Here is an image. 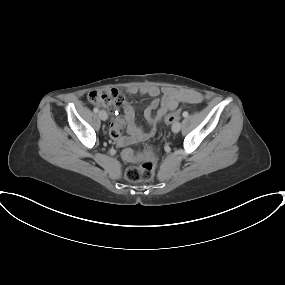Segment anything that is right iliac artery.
<instances>
[{
    "label": "right iliac artery",
    "instance_id": "82829eb1",
    "mask_svg": "<svg viewBox=\"0 0 285 285\" xmlns=\"http://www.w3.org/2000/svg\"><path fill=\"white\" fill-rule=\"evenodd\" d=\"M93 111H94L95 113H97V112H98V108H94Z\"/></svg>",
    "mask_w": 285,
    "mask_h": 285
}]
</instances>
